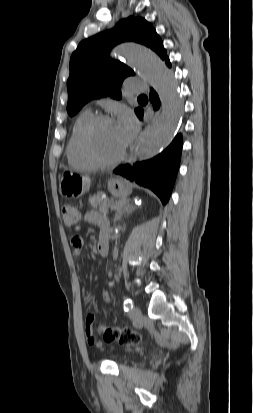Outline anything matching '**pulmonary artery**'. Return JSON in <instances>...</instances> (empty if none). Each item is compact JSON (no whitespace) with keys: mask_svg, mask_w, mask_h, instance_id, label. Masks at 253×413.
<instances>
[{"mask_svg":"<svg viewBox=\"0 0 253 413\" xmlns=\"http://www.w3.org/2000/svg\"><path fill=\"white\" fill-rule=\"evenodd\" d=\"M128 90L133 93H144L146 92V87L144 84L139 82L130 81L127 85Z\"/></svg>","mask_w":253,"mask_h":413,"instance_id":"e3ab8cb5","label":"pulmonary artery"}]
</instances>
